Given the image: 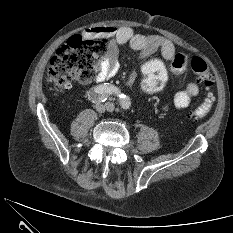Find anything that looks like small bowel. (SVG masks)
Listing matches in <instances>:
<instances>
[{
    "instance_id": "c3829d8e",
    "label": "small bowel",
    "mask_w": 233,
    "mask_h": 233,
    "mask_svg": "<svg viewBox=\"0 0 233 233\" xmlns=\"http://www.w3.org/2000/svg\"><path fill=\"white\" fill-rule=\"evenodd\" d=\"M85 34L89 36H104L112 38L106 57L99 64L96 82L104 83L113 77L119 68L118 47L128 44L133 50L139 52L141 59L150 57L159 51L165 61H170L175 55L174 44L158 35H143L135 33L130 27H95L86 30ZM137 78V73L132 72L126 80V85L131 86ZM199 93V85L196 82H189L183 90L178 91L173 98L176 108L183 109L187 107L195 96Z\"/></svg>"
}]
</instances>
